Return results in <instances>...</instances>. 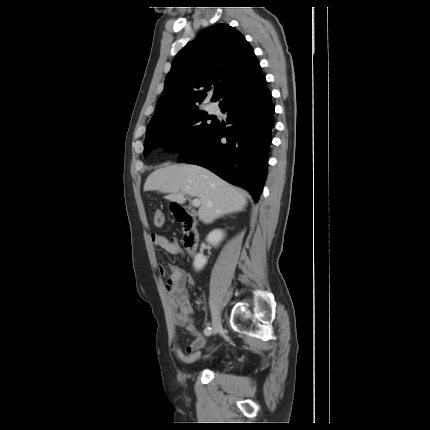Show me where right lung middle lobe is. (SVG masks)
<instances>
[{
	"label": "right lung middle lobe",
	"instance_id": "right-lung-middle-lobe-1",
	"mask_svg": "<svg viewBox=\"0 0 430 430\" xmlns=\"http://www.w3.org/2000/svg\"><path fill=\"white\" fill-rule=\"evenodd\" d=\"M211 120L206 112L198 108L190 109L161 121L147 129L144 156L157 144L178 153H190L200 147L214 127L217 120Z\"/></svg>",
	"mask_w": 430,
	"mask_h": 430
}]
</instances>
